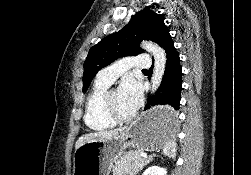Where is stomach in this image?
I'll return each instance as SVG.
<instances>
[{
	"label": "stomach",
	"mask_w": 251,
	"mask_h": 175,
	"mask_svg": "<svg viewBox=\"0 0 251 175\" xmlns=\"http://www.w3.org/2000/svg\"><path fill=\"white\" fill-rule=\"evenodd\" d=\"M175 106L159 105L144 111L138 119L113 139L85 141L73 155V175H109L111 167L125 153L126 147L156 149L165 141H174L178 114Z\"/></svg>",
	"instance_id": "0dacf381"
}]
</instances>
